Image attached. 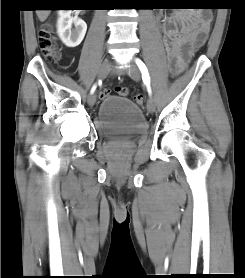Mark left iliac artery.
Listing matches in <instances>:
<instances>
[{
    "instance_id": "left-iliac-artery-1",
    "label": "left iliac artery",
    "mask_w": 245,
    "mask_h": 278,
    "mask_svg": "<svg viewBox=\"0 0 245 278\" xmlns=\"http://www.w3.org/2000/svg\"><path fill=\"white\" fill-rule=\"evenodd\" d=\"M136 64L138 65L141 73H142V79L147 84L148 92L151 95V88H150V76L147 70L146 65L139 59H136Z\"/></svg>"
}]
</instances>
